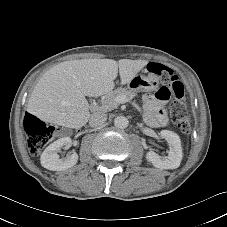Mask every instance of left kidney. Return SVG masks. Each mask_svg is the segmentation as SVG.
Returning a JSON list of instances; mask_svg holds the SVG:
<instances>
[{
	"label": "left kidney",
	"mask_w": 227,
	"mask_h": 227,
	"mask_svg": "<svg viewBox=\"0 0 227 227\" xmlns=\"http://www.w3.org/2000/svg\"><path fill=\"white\" fill-rule=\"evenodd\" d=\"M160 135L169 144L168 156H159L157 153L150 151L146 154V159L160 169L178 168L183 157L179 136L169 130H162Z\"/></svg>",
	"instance_id": "left-kidney-1"
}]
</instances>
